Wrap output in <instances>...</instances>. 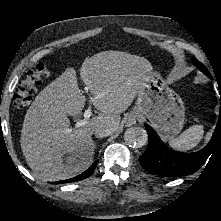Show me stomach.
Returning a JSON list of instances; mask_svg holds the SVG:
<instances>
[{
  "mask_svg": "<svg viewBox=\"0 0 221 221\" xmlns=\"http://www.w3.org/2000/svg\"><path fill=\"white\" fill-rule=\"evenodd\" d=\"M134 112L144 115L163 140L178 135L185 121L182 99L154 72L147 73L142 80Z\"/></svg>",
  "mask_w": 221,
  "mask_h": 221,
  "instance_id": "obj_1",
  "label": "stomach"
}]
</instances>
